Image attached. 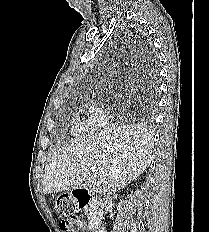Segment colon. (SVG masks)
Returning <instances> with one entry per match:
<instances>
[{
	"instance_id": "5ec220e1",
	"label": "colon",
	"mask_w": 209,
	"mask_h": 232,
	"mask_svg": "<svg viewBox=\"0 0 209 232\" xmlns=\"http://www.w3.org/2000/svg\"><path fill=\"white\" fill-rule=\"evenodd\" d=\"M61 227L65 232H76L75 228H82L83 223L80 219L78 221H63Z\"/></svg>"
}]
</instances>
